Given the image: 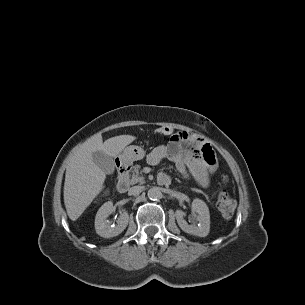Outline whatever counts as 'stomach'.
Masks as SVG:
<instances>
[{
	"instance_id": "stomach-1",
	"label": "stomach",
	"mask_w": 305,
	"mask_h": 305,
	"mask_svg": "<svg viewBox=\"0 0 305 305\" xmlns=\"http://www.w3.org/2000/svg\"><path fill=\"white\" fill-rule=\"evenodd\" d=\"M146 152L141 146L130 145L124 149L119 159L125 165H130L134 161L141 160L145 157Z\"/></svg>"
}]
</instances>
